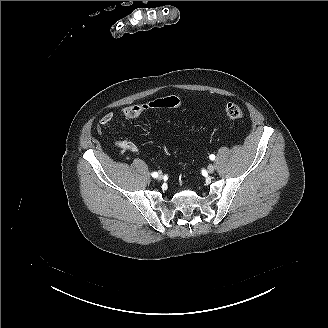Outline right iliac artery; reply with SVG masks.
<instances>
[{
    "label": "right iliac artery",
    "instance_id": "1",
    "mask_svg": "<svg viewBox=\"0 0 328 328\" xmlns=\"http://www.w3.org/2000/svg\"><path fill=\"white\" fill-rule=\"evenodd\" d=\"M151 175H152V177L156 178L158 176V173L157 172H153Z\"/></svg>",
    "mask_w": 328,
    "mask_h": 328
}]
</instances>
